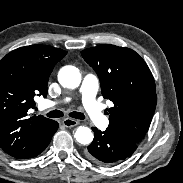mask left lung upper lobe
<instances>
[{
    "label": "left lung upper lobe",
    "mask_w": 183,
    "mask_h": 183,
    "mask_svg": "<svg viewBox=\"0 0 183 183\" xmlns=\"http://www.w3.org/2000/svg\"><path fill=\"white\" fill-rule=\"evenodd\" d=\"M95 70L109 108V126L139 143L144 138L156 107L153 75L139 54L126 47L104 44L81 52Z\"/></svg>",
    "instance_id": "left-lung-upper-lobe-1"
}]
</instances>
